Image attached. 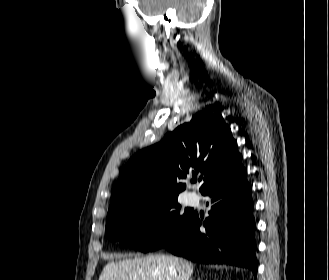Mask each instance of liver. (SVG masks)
I'll return each instance as SVG.
<instances>
[{"label":"liver","instance_id":"obj_1","mask_svg":"<svg viewBox=\"0 0 329 280\" xmlns=\"http://www.w3.org/2000/svg\"><path fill=\"white\" fill-rule=\"evenodd\" d=\"M193 269V264L183 258L149 255L109 262L99 280H189Z\"/></svg>","mask_w":329,"mask_h":280}]
</instances>
